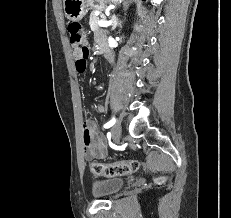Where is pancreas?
Listing matches in <instances>:
<instances>
[{
    "label": "pancreas",
    "instance_id": "obj_1",
    "mask_svg": "<svg viewBox=\"0 0 231 218\" xmlns=\"http://www.w3.org/2000/svg\"><path fill=\"white\" fill-rule=\"evenodd\" d=\"M101 18L105 19V16L104 15H100ZM99 21V17L95 15V12H92L90 14V20H89V25H90V28L91 30H97L99 25L97 24V22Z\"/></svg>",
    "mask_w": 231,
    "mask_h": 218
}]
</instances>
